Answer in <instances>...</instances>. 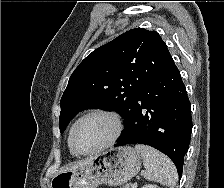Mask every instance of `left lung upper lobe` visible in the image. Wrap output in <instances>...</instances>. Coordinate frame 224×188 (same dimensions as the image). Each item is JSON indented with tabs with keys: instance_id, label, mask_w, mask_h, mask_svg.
Segmentation results:
<instances>
[{
	"instance_id": "obj_1",
	"label": "left lung upper lobe",
	"mask_w": 224,
	"mask_h": 188,
	"mask_svg": "<svg viewBox=\"0 0 224 188\" xmlns=\"http://www.w3.org/2000/svg\"><path fill=\"white\" fill-rule=\"evenodd\" d=\"M156 31L129 30L89 54L72 73L61 98V133L70 120L89 108L131 117L134 100L144 85L173 63Z\"/></svg>"
}]
</instances>
